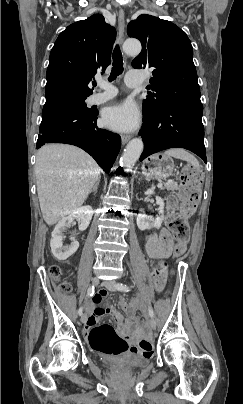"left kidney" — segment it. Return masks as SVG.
Wrapping results in <instances>:
<instances>
[{
	"instance_id": "left-kidney-1",
	"label": "left kidney",
	"mask_w": 243,
	"mask_h": 404,
	"mask_svg": "<svg viewBox=\"0 0 243 404\" xmlns=\"http://www.w3.org/2000/svg\"><path fill=\"white\" fill-rule=\"evenodd\" d=\"M146 196H149V194H154L153 190H147L145 192ZM156 204L159 206V214L158 218L156 220H152L150 216H146V214H138L137 216V226L139 230H150V228H161V224L163 222V214H164V200L162 198H159V196H156Z\"/></svg>"
}]
</instances>
